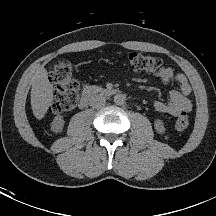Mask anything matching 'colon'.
Segmentation results:
<instances>
[{
	"instance_id": "obj_1",
	"label": "colon",
	"mask_w": 216,
	"mask_h": 216,
	"mask_svg": "<svg viewBox=\"0 0 216 216\" xmlns=\"http://www.w3.org/2000/svg\"><path fill=\"white\" fill-rule=\"evenodd\" d=\"M127 61L130 68L134 71L158 73L165 67V64L159 57L138 52L130 53ZM50 78L57 86V91L54 93L51 102V111L61 113L72 110L78 100L80 83L73 75L70 64L65 59H58ZM188 125V115L181 113L175 121L176 129L183 131Z\"/></svg>"
}]
</instances>
